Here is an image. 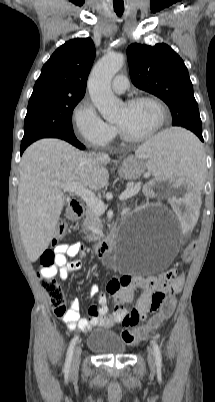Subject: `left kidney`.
I'll use <instances>...</instances> for the list:
<instances>
[{"mask_svg": "<svg viewBox=\"0 0 215 402\" xmlns=\"http://www.w3.org/2000/svg\"><path fill=\"white\" fill-rule=\"evenodd\" d=\"M147 193H160L161 200H172L177 212H183L181 223L183 230L193 232V222H199L198 209L200 202L196 186L186 182L185 178H176L175 175H158L150 180L145 187Z\"/></svg>", "mask_w": 215, "mask_h": 402, "instance_id": "5707ae66", "label": "left kidney"}]
</instances>
